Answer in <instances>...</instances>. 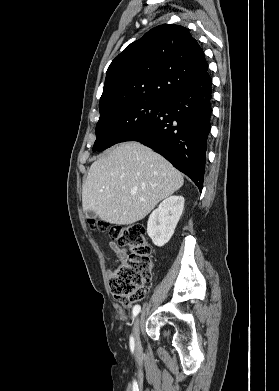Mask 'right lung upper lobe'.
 Here are the masks:
<instances>
[{
  "instance_id": "1",
  "label": "right lung upper lobe",
  "mask_w": 279,
  "mask_h": 391,
  "mask_svg": "<svg viewBox=\"0 0 279 391\" xmlns=\"http://www.w3.org/2000/svg\"><path fill=\"white\" fill-rule=\"evenodd\" d=\"M207 70L204 52L186 28L160 25L112 61L99 111L142 100L165 102L198 81Z\"/></svg>"
}]
</instances>
